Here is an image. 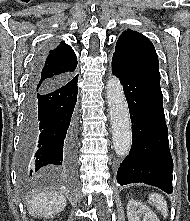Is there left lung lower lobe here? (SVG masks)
<instances>
[{"instance_id": "left-lung-lower-lobe-1", "label": "left lung lower lobe", "mask_w": 190, "mask_h": 221, "mask_svg": "<svg viewBox=\"0 0 190 221\" xmlns=\"http://www.w3.org/2000/svg\"><path fill=\"white\" fill-rule=\"evenodd\" d=\"M112 72L123 85L132 122V147L117 172L120 185L145 183L170 194L173 161L162 105L159 70L112 58Z\"/></svg>"}]
</instances>
